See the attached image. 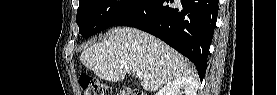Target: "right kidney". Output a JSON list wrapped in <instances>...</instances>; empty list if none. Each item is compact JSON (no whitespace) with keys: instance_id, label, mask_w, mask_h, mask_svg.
Returning a JSON list of instances; mask_svg holds the SVG:
<instances>
[{"instance_id":"ca27d5eb","label":"right kidney","mask_w":277,"mask_h":95,"mask_svg":"<svg viewBox=\"0 0 277 95\" xmlns=\"http://www.w3.org/2000/svg\"><path fill=\"white\" fill-rule=\"evenodd\" d=\"M184 88L185 95H196L198 84L192 78H178L168 82L156 95H181L180 90Z\"/></svg>"}]
</instances>
